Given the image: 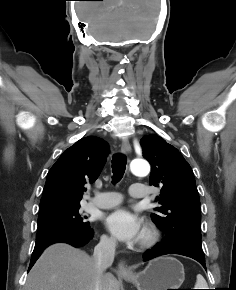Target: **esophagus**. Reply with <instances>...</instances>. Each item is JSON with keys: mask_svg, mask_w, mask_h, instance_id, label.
I'll use <instances>...</instances> for the list:
<instances>
[{"mask_svg": "<svg viewBox=\"0 0 236 290\" xmlns=\"http://www.w3.org/2000/svg\"><path fill=\"white\" fill-rule=\"evenodd\" d=\"M121 152L123 154H128L131 152V145L127 139H123L121 143ZM117 272L120 275H131L132 271L127 265L122 261L118 264Z\"/></svg>", "mask_w": 236, "mask_h": 290, "instance_id": "esophagus-1", "label": "esophagus"}]
</instances>
